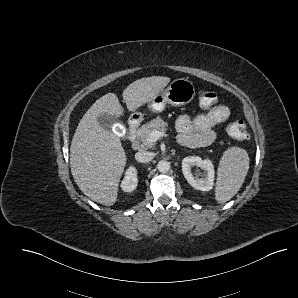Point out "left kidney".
<instances>
[{"mask_svg":"<svg viewBox=\"0 0 298 298\" xmlns=\"http://www.w3.org/2000/svg\"><path fill=\"white\" fill-rule=\"evenodd\" d=\"M201 167L204 173L196 177L192 173V167ZM182 173L187 182L195 189L211 191L215 186V163L212 159H202L200 156H187L182 160Z\"/></svg>","mask_w":298,"mask_h":298,"instance_id":"5707ae66","label":"left kidney"}]
</instances>
